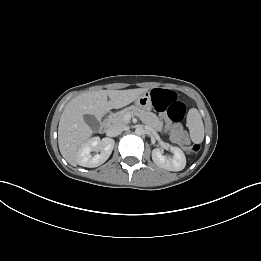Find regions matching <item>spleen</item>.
Instances as JSON below:
<instances>
[{
    "label": "spleen",
    "instance_id": "1",
    "mask_svg": "<svg viewBox=\"0 0 261 261\" xmlns=\"http://www.w3.org/2000/svg\"><path fill=\"white\" fill-rule=\"evenodd\" d=\"M190 136L194 143H201L204 138V126L200 114L197 110H192L189 114Z\"/></svg>",
    "mask_w": 261,
    "mask_h": 261
}]
</instances>
